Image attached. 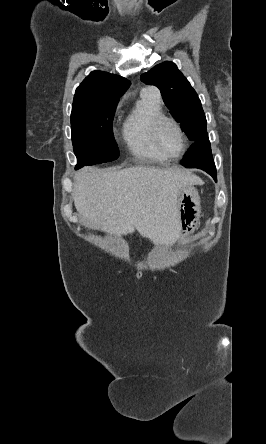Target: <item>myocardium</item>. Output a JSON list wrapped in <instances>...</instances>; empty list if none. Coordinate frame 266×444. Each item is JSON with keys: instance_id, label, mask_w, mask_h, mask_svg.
Wrapping results in <instances>:
<instances>
[{"instance_id": "obj_1", "label": "myocardium", "mask_w": 266, "mask_h": 444, "mask_svg": "<svg viewBox=\"0 0 266 444\" xmlns=\"http://www.w3.org/2000/svg\"><path fill=\"white\" fill-rule=\"evenodd\" d=\"M165 122L172 123L175 126V128L177 129V131H178V133L180 135V138H181V148H180V151L178 152V154L172 155V156H176V157L181 156L186 151V148H187V138H186V135H185L181 125L173 117L162 115V116L158 117L154 121V123L152 125V140H153L154 146L165 157L166 156H171V155H168L167 153H165V151L162 149V147H161V145L159 143V131H160L161 126Z\"/></svg>"}]
</instances>
